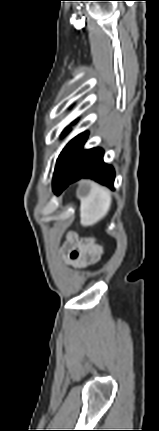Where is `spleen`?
<instances>
[{"instance_id":"spleen-1","label":"spleen","mask_w":159,"mask_h":431,"mask_svg":"<svg viewBox=\"0 0 159 431\" xmlns=\"http://www.w3.org/2000/svg\"><path fill=\"white\" fill-rule=\"evenodd\" d=\"M111 202V192L100 185H94L90 194L81 198V224L91 226L100 221L107 215Z\"/></svg>"}]
</instances>
